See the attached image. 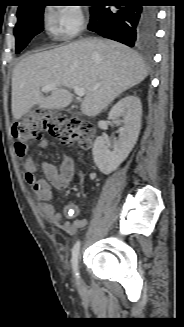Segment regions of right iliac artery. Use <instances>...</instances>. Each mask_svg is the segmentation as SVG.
<instances>
[{
	"label": "right iliac artery",
	"instance_id": "obj_1",
	"mask_svg": "<svg viewBox=\"0 0 184 327\" xmlns=\"http://www.w3.org/2000/svg\"><path fill=\"white\" fill-rule=\"evenodd\" d=\"M79 249H80V241H77L72 249V266L76 279L79 278V272H78Z\"/></svg>",
	"mask_w": 184,
	"mask_h": 327
}]
</instances>
